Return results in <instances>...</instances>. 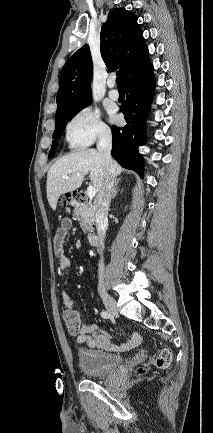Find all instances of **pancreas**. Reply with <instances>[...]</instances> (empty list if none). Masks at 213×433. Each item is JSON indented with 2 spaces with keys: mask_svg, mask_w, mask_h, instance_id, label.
<instances>
[{
  "mask_svg": "<svg viewBox=\"0 0 213 433\" xmlns=\"http://www.w3.org/2000/svg\"><path fill=\"white\" fill-rule=\"evenodd\" d=\"M74 214L80 222L82 230L88 235L93 231L94 209L90 204L76 202L74 204Z\"/></svg>",
  "mask_w": 213,
  "mask_h": 433,
  "instance_id": "pancreas-1",
  "label": "pancreas"
}]
</instances>
